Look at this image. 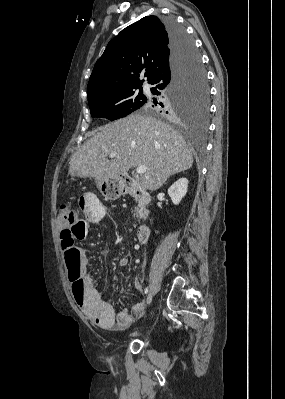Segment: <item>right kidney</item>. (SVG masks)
I'll return each instance as SVG.
<instances>
[{
	"mask_svg": "<svg viewBox=\"0 0 285 399\" xmlns=\"http://www.w3.org/2000/svg\"><path fill=\"white\" fill-rule=\"evenodd\" d=\"M188 183V179L180 178L169 187L168 194L173 204L178 205L184 198L187 193Z\"/></svg>",
	"mask_w": 285,
	"mask_h": 399,
	"instance_id": "1",
	"label": "right kidney"
}]
</instances>
